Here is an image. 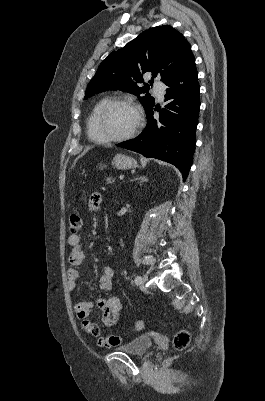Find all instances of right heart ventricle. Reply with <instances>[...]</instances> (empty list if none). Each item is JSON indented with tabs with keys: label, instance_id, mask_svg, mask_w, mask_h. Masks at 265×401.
I'll return each instance as SVG.
<instances>
[{
	"label": "right heart ventricle",
	"instance_id": "right-heart-ventricle-1",
	"mask_svg": "<svg viewBox=\"0 0 265 401\" xmlns=\"http://www.w3.org/2000/svg\"><path fill=\"white\" fill-rule=\"evenodd\" d=\"M106 101H107V99H101V100H99V101L92 107V109H91V111H90V113H89V115H88V117H87V120H86L87 135H88V137H89L92 141H95V142H98V141L96 140V135L93 134V133H92V130H91L92 120H93V118H94L96 112L99 110V108H100Z\"/></svg>",
	"mask_w": 265,
	"mask_h": 401
}]
</instances>
